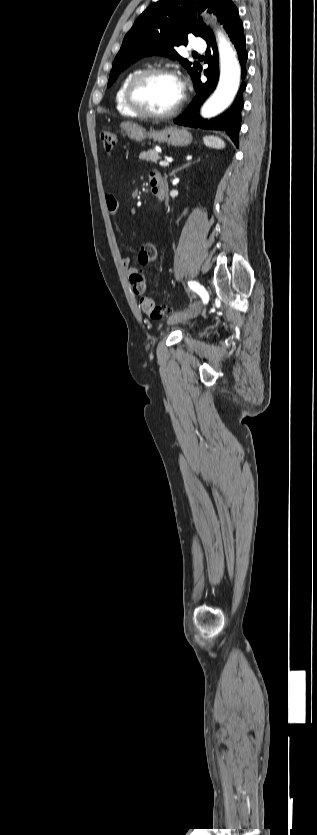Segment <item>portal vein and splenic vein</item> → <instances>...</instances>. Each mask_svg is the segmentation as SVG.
Wrapping results in <instances>:
<instances>
[{
	"label": "portal vein and splenic vein",
	"mask_w": 317,
	"mask_h": 835,
	"mask_svg": "<svg viewBox=\"0 0 317 835\" xmlns=\"http://www.w3.org/2000/svg\"><path fill=\"white\" fill-rule=\"evenodd\" d=\"M159 165H160L162 168H166L167 166H169V163H168V162H166V161H160V162H159Z\"/></svg>",
	"instance_id": "obj_1"
}]
</instances>
